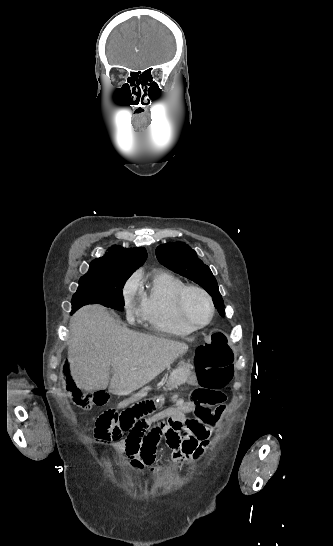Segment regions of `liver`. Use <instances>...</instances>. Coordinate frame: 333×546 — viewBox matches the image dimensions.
Masks as SVG:
<instances>
[{"label": "liver", "mask_w": 333, "mask_h": 546, "mask_svg": "<svg viewBox=\"0 0 333 546\" xmlns=\"http://www.w3.org/2000/svg\"><path fill=\"white\" fill-rule=\"evenodd\" d=\"M70 374L77 388L126 396L142 388L188 350V345L144 335L116 323L101 305H87L70 320Z\"/></svg>", "instance_id": "1"}]
</instances>
